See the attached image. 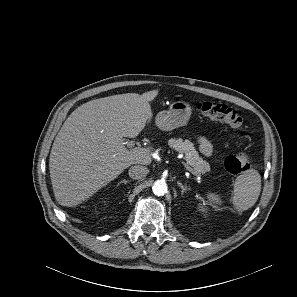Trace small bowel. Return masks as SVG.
Wrapping results in <instances>:
<instances>
[{"label":"small bowel","mask_w":297,"mask_h":297,"mask_svg":"<svg viewBox=\"0 0 297 297\" xmlns=\"http://www.w3.org/2000/svg\"><path fill=\"white\" fill-rule=\"evenodd\" d=\"M198 143H199L201 152L205 156H210L211 152H212V146H211V143L209 142V140L204 136H199Z\"/></svg>","instance_id":"1"}]
</instances>
